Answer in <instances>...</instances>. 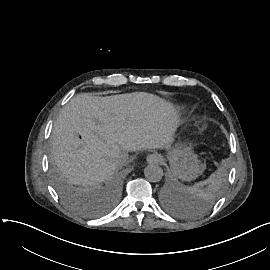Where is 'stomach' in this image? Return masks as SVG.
Wrapping results in <instances>:
<instances>
[{
	"label": "stomach",
	"mask_w": 270,
	"mask_h": 270,
	"mask_svg": "<svg viewBox=\"0 0 270 270\" xmlns=\"http://www.w3.org/2000/svg\"><path fill=\"white\" fill-rule=\"evenodd\" d=\"M168 156L173 168L172 175L182 180L195 179L205 169V165L199 164V160L189 147L182 149L175 147L172 152H169Z\"/></svg>",
	"instance_id": "obj_1"
}]
</instances>
